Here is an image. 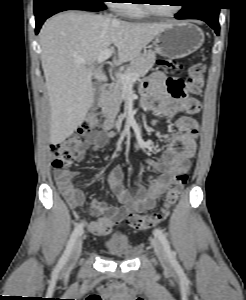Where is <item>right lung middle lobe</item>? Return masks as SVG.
<instances>
[{
	"instance_id": "obj_1",
	"label": "right lung middle lobe",
	"mask_w": 246,
	"mask_h": 300,
	"mask_svg": "<svg viewBox=\"0 0 246 300\" xmlns=\"http://www.w3.org/2000/svg\"><path fill=\"white\" fill-rule=\"evenodd\" d=\"M43 0H34V5L41 3ZM93 2V4H95L98 7H102L103 9H105V5L103 4V0H90Z\"/></svg>"
}]
</instances>
